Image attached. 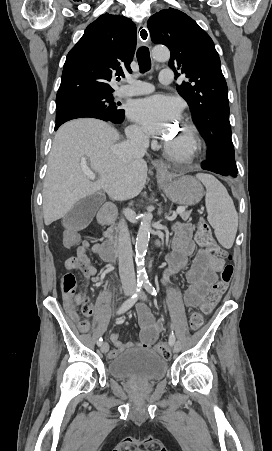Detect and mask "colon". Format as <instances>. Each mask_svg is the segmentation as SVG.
<instances>
[{"label":"colon","mask_w":272,"mask_h":451,"mask_svg":"<svg viewBox=\"0 0 272 451\" xmlns=\"http://www.w3.org/2000/svg\"><path fill=\"white\" fill-rule=\"evenodd\" d=\"M62 237V247L64 249H77L78 244L81 242V237L80 235H77L76 230H63ZM196 239L198 242L209 248L206 253L207 258L231 259L229 249H221L218 247L206 222L200 224L196 233ZM75 267H80L81 271H93L94 263L88 262L87 258H68L66 260V271L64 274H59V283H61L60 285L61 289H63V296L65 297L66 303H83L81 310L84 314L88 315L91 313V305L87 301V297L84 294H76V289H78L79 284L78 280H76V274L73 272ZM233 272L234 267L231 264L224 266L220 272L219 281L212 286L204 298V304L202 306L203 312H212L230 285ZM190 323L192 329H198L203 324L201 314L197 312L193 313ZM88 328L89 323L87 321H81L79 323V329L81 331H87ZM154 349L158 354H161L164 359H168L169 354H173L174 352V347L173 345H170L169 342H155Z\"/></svg>","instance_id":"obj_1"}]
</instances>
